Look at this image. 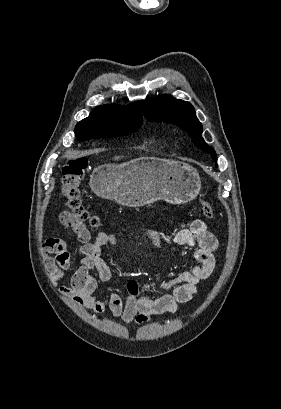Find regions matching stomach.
<instances>
[{
    "label": "stomach",
    "instance_id": "0dacf381",
    "mask_svg": "<svg viewBox=\"0 0 281 409\" xmlns=\"http://www.w3.org/2000/svg\"><path fill=\"white\" fill-rule=\"evenodd\" d=\"M89 184L101 198L124 207H143L154 200L185 205L201 190L199 172L183 160L140 156L122 164H101Z\"/></svg>",
    "mask_w": 281,
    "mask_h": 409
}]
</instances>
